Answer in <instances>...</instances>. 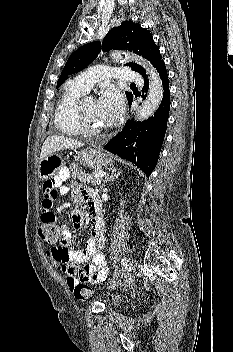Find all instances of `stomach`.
Returning a JSON list of instances; mask_svg holds the SVG:
<instances>
[{
    "mask_svg": "<svg viewBox=\"0 0 233 352\" xmlns=\"http://www.w3.org/2000/svg\"><path fill=\"white\" fill-rule=\"evenodd\" d=\"M81 163L92 169H102L112 164V159L100 148L89 147L78 154ZM63 159L56 155L50 154L39 162L38 176L42 180L52 178L62 167Z\"/></svg>",
    "mask_w": 233,
    "mask_h": 352,
    "instance_id": "1",
    "label": "stomach"
}]
</instances>
